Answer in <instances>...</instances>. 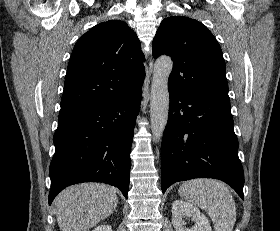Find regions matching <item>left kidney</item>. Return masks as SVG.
Segmentation results:
<instances>
[{
  "label": "left kidney",
  "instance_id": "left-kidney-1",
  "mask_svg": "<svg viewBox=\"0 0 280 231\" xmlns=\"http://www.w3.org/2000/svg\"><path fill=\"white\" fill-rule=\"evenodd\" d=\"M187 221H195V223L192 227H186L185 223ZM172 225L176 231H212L204 213H201L198 207L188 203V201H183V199H176L172 203Z\"/></svg>",
  "mask_w": 280,
  "mask_h": 231
}]
</instances>
